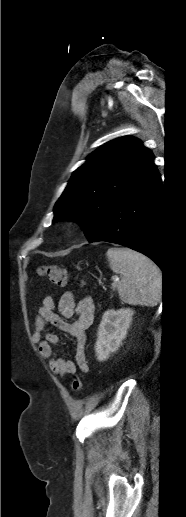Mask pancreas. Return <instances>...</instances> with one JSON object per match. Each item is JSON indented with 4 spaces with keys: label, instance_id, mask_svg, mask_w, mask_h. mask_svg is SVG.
<instances>
[{
    "label": "pancreas",
    "instance_id": "pancreas-1",
    "mask_svg": "<svg viewBox=\"0 0 186 517\" xmlns=\"http://www.w3.org/2000/svg\"><path fill=\"white\" fill-rule=\"evenodd\" d=\"M112 288H113V290H115V288H116V283H114V284L112 285Z\"/></svg>",
    "mask_w": 186,
    "mask_h": 517
}]
</instances>
